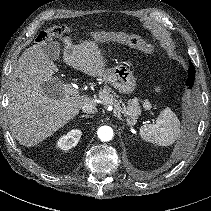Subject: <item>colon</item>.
I'll return each mask as SVG.
<instances>
[{
  "label": "colon",
  "instance_id": "colon-1",
  "mask_svg": "<svg viewBox=\"0 0 211 211\" xmlns=\"http://www.w3.org/2000/svg\"><path fill=\"white\" fill-rule=\"evenodd\" d=\"M68 33H70V28L68 26H54L50 29L40 32L36 38V42L38 44H44L53 39L54 37H61Z\"/></svg>",
  "mask_w": 211,
  "mask_h": 211
}]
</instances>
